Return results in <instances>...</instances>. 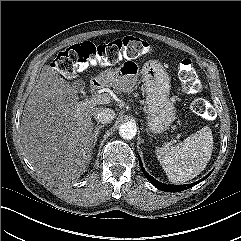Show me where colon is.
<instances>
[{
    "instance_id": "1",
    "label": "colon",
    "mask_w": 241,
    "mask_h": 241,
    "mask_svg": "<svg viewBox=\"0 0 241 241\" xmlns=\"http://www.w3.org/2000/svg\"><path fill=\"white\" fill-rule=\"evenodd\" d=\"M151 49L148 42L134 36H127L103 45L83 42L60 52L53 60L52 66L64 77L74 78L78 72L91 65H112L122 58L135 59L148 54ZM179 77L186 93L200 92L201 84L190 59L185 58L180 62ZM191 108L198 115L209 114L207 102L202 98L195 99Z\"/></svg>"
}]
</instances>
